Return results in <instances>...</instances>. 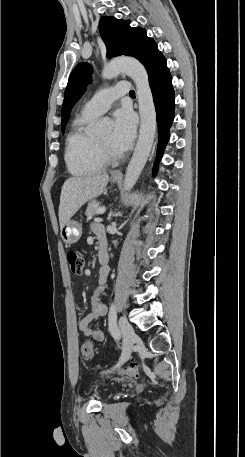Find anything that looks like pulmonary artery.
Wrapping results in <instances>:
<instances>
[{"label":"pulmonary artery","mask_w":245,"mask_h":457,"mask_svg":"<svg viewBox=\"0 0 245 457\" xmlns=\"http://www.w3.org/2000/svg\"><path fill=\"white\" fill-rule=\"evenodd\" d=\"M133 85L130 80H117L116 86H103L102 93H95L94 98L82 106V115L95 118L103 114L123 95H131Z\"/></svg>","instance_id":"e3ab8cb5"}]
</instances>
